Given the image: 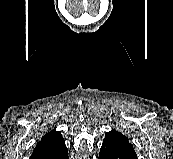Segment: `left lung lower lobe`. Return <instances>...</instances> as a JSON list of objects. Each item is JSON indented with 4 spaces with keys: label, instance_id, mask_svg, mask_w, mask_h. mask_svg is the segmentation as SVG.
Here are the masks:
<instances>
[{
    "label": "left lung lower lobe",
    "instance_id": "obj_1",
    "mask_svg": "<svg viewBox=\"0 0 173 159\" xmlns=\"http://www.w3.org/2000/svg\"><path fill=\"white\" fill-rule=\"evenodd\" d=\"M98 159H137V155H133L103 143Z\"/></svg>",
    "mask_w": 173,
    "mask_h": 159
}]
</instances>
